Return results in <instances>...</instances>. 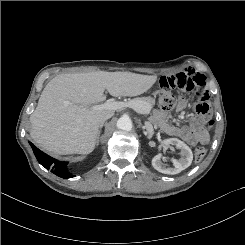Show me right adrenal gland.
Masks as SVG:
<instances>
[{"label": "right adrenal gland", "instance_id": "2a0ac1e0", "mask_svg": "<svg viewBox=\"0 0 245 245\" xmlns=\"http://www.w3.org/2000/svg\"><path fill=\"white\" fill-rule=\"evenodd\" d=\"M102 127H103V124L100 126V128H102ZM100 133H101V131H99V134H98V137H97V143L99 141Z\"/></svg>", "mask_w": 245, "mask_h": 245}]
</instances>
